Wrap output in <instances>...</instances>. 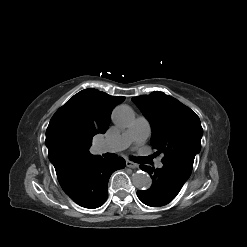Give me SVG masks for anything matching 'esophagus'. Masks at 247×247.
<instances>
[{"label":"esophagus","instance_id":"obj_1","mask_svg":"<svg viewBox=\"0 0 247 247\" xmlns=\"http://www.w3.org/2000/svg\"><path fill=\"white\" fill-rule=\"evenodd\" d=\"M126 166L132 169H135L138 167L136 163H133L132 161H129V160L126 161Z\"/></svg>","mask_w":247,"mask_h":247}]
</instances>
